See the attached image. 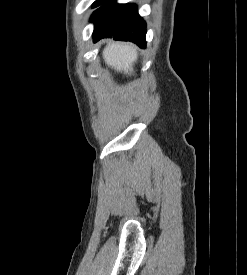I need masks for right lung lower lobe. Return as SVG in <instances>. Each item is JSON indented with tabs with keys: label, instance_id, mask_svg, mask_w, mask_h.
<instances>
[{
	"label": "right lung lower lobe",
	"instance_id": "1",
	"mask_svg": "<svg viewBox=\"0 0 247 275\" xmlns=\"http://www.w3.org/2000/svg\"><path fill=\"white\" fill-rule=\"evenodd\" d=\"M91 20L95 24V42L114 36L115 40L131 41L141 48L146 46V23L134 4H116L115 0H108L94 12Z\"/></svg>",
	"mask_w": 247,
	"mask_h": 275
}]
</instances>
